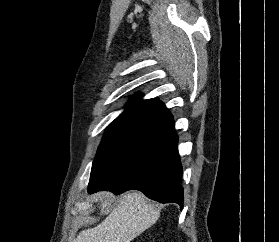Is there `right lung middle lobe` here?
Here are the masks:
<instances>
[{
	"label": "right lung middle lobe",
	"instance_id": "dd1d6c3e",
	"mask_svg": "<svg viewBox=\"0 0 279 242\" xmlns=\"http://www.w3.org/2000/svg\"><path fill=\"white\" fill-rule=\"evenodd\" d=\"M162 118L139 113L121 114L108 125L92 164L90 181L107 176L162 126Z\"/></svg>",
	"mask_w": 279,
	"mask_h": 242
}]
</instances>
